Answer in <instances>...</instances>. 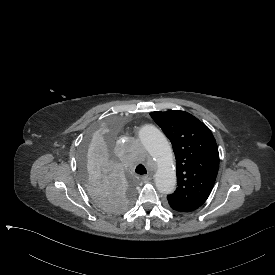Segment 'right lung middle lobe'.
Listing matches in <instances>:
<instances>
[{
  "label": "right lung middle lobe",
  "mask_w": 275,
  "mask_h": 275,
  "mask_svg": "<svg viewBox=\"0 0 275 275\" xmlns=\"http://www.w3.org/2000/svg\"><path fill=\"white\" fill-rule=\"evenodd\" d=\"M122 130L116 117L99 121L86 134L78 152L80 183L95 205L107 213H120L135 198L132 181L115 157L114 138Z\"/></svg>",
  "instance_id": "obj_1"
}]
</instances>
